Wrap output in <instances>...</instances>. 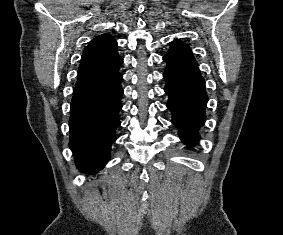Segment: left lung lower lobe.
Returning a JSON list of instances; mask_svg holds the SVG:
<instances>
[{"instance_id": "0a47b994", "label": "left lung lower lobe", "mask_w": 283, "mask_h": 235, "mask_svg": "<svg viewBox=\"0 0 283 235\" xmlns=\"http://www.w3.org/2000/svg\"><path fill=\"white\" fill-rule=\"evenodd\" d=\"M163 76L172 123L178 127L181 139L191 147L198 141V130L205 122L208 98L204 79L198 66L173 62H167Z\"/></svg>"}]
</instances>
